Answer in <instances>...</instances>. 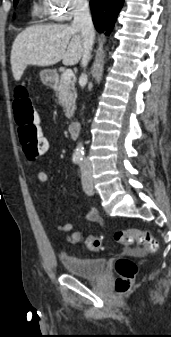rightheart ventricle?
<instances>
[{
	"mask_svg": "<svg viewBox=\"0 0 171 337\" xmlns=\"http://www.w3.org/2000/svg\"><path fill=\"white\" fill-rule=\"evenodd\" d=\"M35 11L38 13H44L45 12V4L43 3L42 6H36Z\"/></svg>",
	"mask_w": 171,
	"mask_h": 337,
	"instance_id": "obj_1",
	"label": "right heart ventricle"
}]
</instances>
